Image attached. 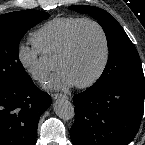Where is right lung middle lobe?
<instances>
[{"instance_id": "dd1d6c3e", "label": "right lung middle lobe", "mask_w": 145, "mask_h": 145, "mask_svg": "<svg viewBox=\"0 0 145 145\" xmlns=\"http://www.w3.org/2000/svg\"><path fill=\"white\" fill-rule=\"evenodd\" d=\"M47 18L48 13L33 9L0 15V87L22 85L29 79L19 60V43L27 30Z\"/></svg>"}]
</instances>
